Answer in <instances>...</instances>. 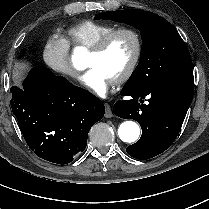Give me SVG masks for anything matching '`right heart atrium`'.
<instances>
[{
	"mask_svg": "<svg viewBox=\"0 0 209 209\" xmlns=\"http://www.w3.org/2000/svg\"><path fill=\"white\" fill-rule=\"evenodd\" d=\"M43 60L55 73L71 79L78 78V72L69 57V43L60 35L49 36L42 51Z\"/></svg>",
	"mask_w": 209,
	"mask_h": 209,
	"instance_id": "d8ad5b80",
	"label": "right heart atrium"
}]
</instances>
